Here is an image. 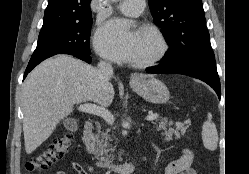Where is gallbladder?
<instances>
[{
	"mask_svg": "<svg viewBox=\"0 0 249 174\" xmlns=\"http://www.w3.org/2000/svg\"><path fill=\"white\" fill-rule=\"evenodd\" d=\"M63 123L66 129L70 131H75L78 128L77 121L72 118L65 119Z\"/></svg>",
	"mask_w": 249,
	"mask_h": 174,
	"instance_id": "gallbladder-1",
	"label": "gallbladder"
}]
</instances>
